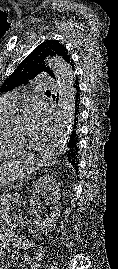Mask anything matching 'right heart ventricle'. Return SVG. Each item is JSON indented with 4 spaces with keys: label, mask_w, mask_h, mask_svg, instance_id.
I'll list each match as a JSON object with an SVG mask.
<instances>
[{
    "label": "right heart ventricle",
    "mask_w": 118,
    "mask_h": 269,
    "mask_svg": "<svg viewBox=\"0 0 118 269\" xmlns=\"http://www.w3.org/2000/svg\"><path fill=\"white\" fill-rule=\"evenodd\" d=\"M13 115V110L0 106V157L14 155L21 151V144L13 140L8 130V122Z\"/></svg>",
    "instance_id": "right-heart-ventricle-1"
}]
</instances>
